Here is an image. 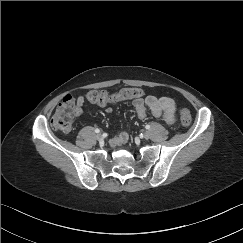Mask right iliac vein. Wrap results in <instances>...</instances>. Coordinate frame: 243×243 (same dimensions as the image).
I'll return each mask as SVG.
<instances>
[{
  "label": "right iliac vein",
  "mask_w": 243,
  "mask_h": 243,
  "mask_svg": "<svg viewBox=\"0 0 243 243\" xmlns=\"http://www.w3.org/2000/svg\"><path fill=\"white\" fill-rule=\"evenodd\" d=\"M96 139L97 140H101L102 139V135L101 134H97Z\"/></svg>",
  "instance_id": "right-iliac-vein-1"
}]
</instances>
